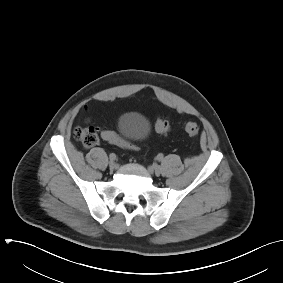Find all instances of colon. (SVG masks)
Here are the masks:
<instances>
[{
  "instance_id": "5ec220e1",
  "label": "colon",
  "mask_w": 283,
  "mask_h": 283,
  "mask_svg": "<svg viewBox=\"0 0 283 283\" xmlns=\"http://www.w3.org/2000/svg\"><path fill=\"white\" fill-rule=\"evenodd\" d=\"M183 130L191 137H195L199 133V125L193 121L184 122ZM155 129L159 134L167 135L171 131L170 124L158 117L155 120ZM74 138L79 141L84 147H93L99 141L98 131L93 126H78L73 132ZM100 137L107 143L127 150H133L134 147L122 139L117 133L111 130H103Z\"/></svg>"
}]
</instances>
